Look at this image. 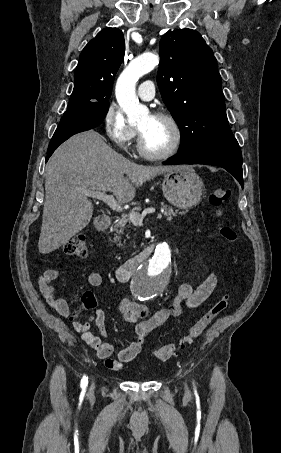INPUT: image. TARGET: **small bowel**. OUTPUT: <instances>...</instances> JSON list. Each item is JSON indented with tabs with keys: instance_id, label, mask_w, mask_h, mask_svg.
Masks as SVG:
<instances>
[{
	"instance_id": "1",
	"label": "small bowel",
	"mask_w": 281,
	"mask_h": 453,
	"mask_svg": "<svg viewBox=\"0 0 281 453\" xmlns=\"http://www.w3.org/2000/svg\"><path fill=\"white\" fill-rule=\"evenodd\" d=\"M59 277L60 271L56 268L44 270L39 275V289L46 302L50 303L60 315L68 316L70 312L69 304L66 300L56 297L54 292L53 281ZM87 279L92 286H101L102 284V276L98 272H90ZM217 281V276L209 272L196 290H193L189 285H181L172 300L171 306L159 311L152 317H147V310L142 304L129 298H122L119 302V310L124 319L134 325L135 339L129 346L119 351L117 355L113 354V346L105 342L107 338L106 317L102 310L94 311V328L98 331V335L90 331L89 323H81L75 320L73 326L80 334L82 342L96 350L98 358L106 361L109 370L116 371L120 369L123 363L135 359L153 328L161 326L170 317H177L183 306L198 307L216 288Z\"/></svg>"
}]
</instances>
